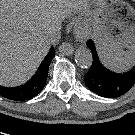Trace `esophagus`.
<instances>
[{"mask_svg": "<svg viewBox=\"0 0 135 135\" xmlns=\"http://www.w3.org/2000/svg\"><path fill=\"white\" fill-rule=\"evenodd\" d=\"M59 52L64 54V55H72L74 48L72 47V45L69 42H63L59 48H58Z\"/></svg>", "mask_w": 135, "mask_h": 135, "instance_id": "esophagus-1", "label": "esophagus"}]
</instances>
